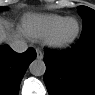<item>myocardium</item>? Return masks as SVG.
<instances>
[{"label": "myocardium", "instance_id": "1", "mask_svg": "<svg viewBox=\"0 0 95 95\" xmlns=\"http://www.w3.org/2000/svg\"><path fill=\"white\" fill-rule=\"evenodd\" d=\"M70 20H75L78 24V29L76 34L70 38V39H62L60 37L61 31L63 30L65 24L70 21ZM82 32V25L81 22L78 18L70 16L66 17L51 33L50 35L46 38V44L53 48V49H67L71 47L80 37Z\"/></svg>", "mask_w": 95, "mask_h": 95}]
</instances>
